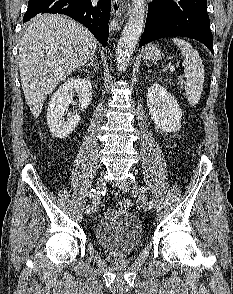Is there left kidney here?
Returning a JSON list of instances; mask_svg holds the SVG:
<instances>
[{"label": "left kidney", "mask_w": 233, "mask_h": 294, "mask_svg": "<svg viewBox=\"0 0 233 294\" xmlns=\"http://www.w3.org/2000/svg\"><path fill=\"white\" fill-rule=\"evenodd\" d=\"M147 106L155 126L163 132H175L181 128L182 111L174 97L159 83L147 92Z\"/></svg>", "instance_id": "5707ae66"}]
</instances>
